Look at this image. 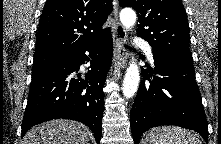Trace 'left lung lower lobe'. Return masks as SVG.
<instances>
[{
    "label": "left lung lower lobe",
    "instance_id": "0a47b994",
    "mask_svg": "<svg viewBox=\"0 0 221 144\" xmlns=\"http://www.w3.org/2000/svg\"><path fill=\"white\" fill-rule=\"evenodd\" d=\"M153 58L155 69H143L144 78L130 114L134 143H139L144 131L161 125L194 130L208 142L207 120L193 64L156 53Z\"/></svg>",
    "mask_w": 221,
    "mask_h": 144
}]
</instances>
